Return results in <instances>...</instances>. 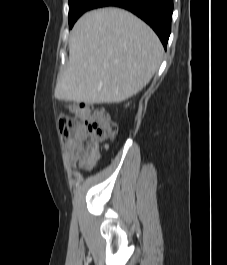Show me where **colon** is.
<instances>
[{"instance_id":"1","label":"colon","mask_w":227,"mask_h":265,"mask_svg":"<svg viewBox=\"0 0 227 265\" xmlns=\"http://www.w3.org/2000/svg\"><path fill=\"white\" fill-rule=\"evenodd\" d=\"M71 111L83 125L84 132L80 139L83 147L94 149L99 142L108 141L115 136L117 126L103 108L82 103L74 106ZM59 128L65 137H69L74 126L70 119L62 118L59 121Z\"/></svg>"}]
</instances>
